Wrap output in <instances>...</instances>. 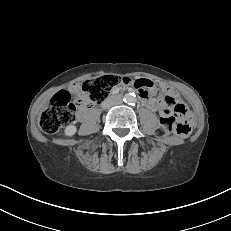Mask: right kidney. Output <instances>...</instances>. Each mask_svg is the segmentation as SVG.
<instances>
[{
    "label": "right kidney",
    "instance_id": "1",
    "mask_svg": "<svg viewBox=\"0 0 231 231\" xmlns=\"http://www.w3.org/2000/svg\"><path fill=\"white\" fill-rule=\"evenodd\" d=\"M77 131L76 126L74 125H68L65 127L64 134L66 136H73Z\"/></svg>",
    "mask_w": 231,
    "mask_h": 231
}]
</instances>
